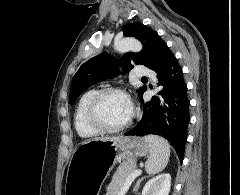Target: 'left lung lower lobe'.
<instances>
[{"label":"left lung lower lobe","instance_id":"1","mask_svg":"<svg viewBox=\"0 0 240 195\" xmlns=\"http://www.w3.org/2000/svg\"><path fill=\"white\" fill-rule=\"evenodd\" d=\"M155 73L162 90L159 96H153L149 102H142L141 121L125 135H160L170 142L182 161L190 122L187 85L173 53Z\"/></svg>","mask_w":240,"mask_h":195}]
</instances>
